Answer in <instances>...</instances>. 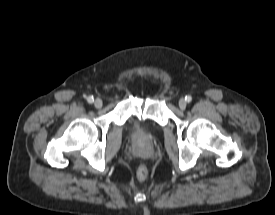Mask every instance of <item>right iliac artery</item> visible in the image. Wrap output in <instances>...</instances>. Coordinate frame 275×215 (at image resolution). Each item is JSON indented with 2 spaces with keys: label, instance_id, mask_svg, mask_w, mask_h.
I'll use <instances>...</instances> for the list:
<instances>
[{
  "label": "right iliac artery",
  "instance_id": "right-iliac-artery-1",
  "mask_svg": "<svg viewBox=\"0 0 275 215\" xmlns=\"http://www.w3.org/2000/svg\"><path fill=\"white\" fill-rule=\"evenodd\" d=\"M87 101H88V103H93L94 102V97L93 96H89L87 98Z\"/></svg>",
  "mask_w": 275,
  "mask_h": 215
}]
</instances>
